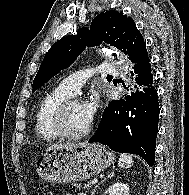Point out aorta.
Returning a JSON list of instances; mask_svg holds the SVG:
<instances>
[{
    "label": "aorta",
    "mask_w": 189,
    "mask_h": 195,
    "mask_svg": "<svg viewBox=\"0 0 189 195\" xmlns=\"http://www.w3.org/2000/svg\"><path fill=\"white\" fill-rule=\"evenodd\" d=\"M104 53L106 52L107 55H109L110 57H112L113 59L117 60V64L121 65L124 63V58L122 55L119 54V52H117V50L115 49H109L107 51H103Z\"/></svg>",
    "instance_id": "1"
}]
</instances>
